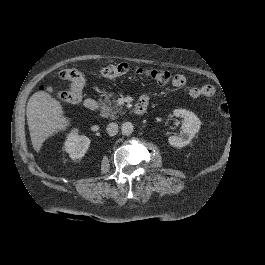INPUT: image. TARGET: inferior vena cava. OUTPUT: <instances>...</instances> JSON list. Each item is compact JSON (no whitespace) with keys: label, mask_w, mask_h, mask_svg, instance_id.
<instances>
[{"label":"inferior vena cava","mask_w":265,"mask_h":265,"mask_svg":"<svg viewBox=\"0 0 265 265\" xmlns=\"http://www.w3.org/2000/svg\"><path fill=\"white\" fill-rule=\"evenodd\" d=\"M107 132L111 136H115L118 132V124L117 123H109L107 125Z\"/></svg>","instance_id":"1"}]
</instances>
